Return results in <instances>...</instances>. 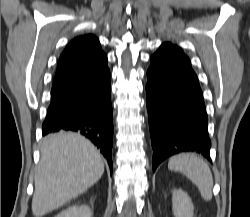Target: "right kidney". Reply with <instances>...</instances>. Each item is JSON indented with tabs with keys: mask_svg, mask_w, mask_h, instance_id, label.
<instances>
[{
	"mask_svg": "<svg viewBox=\"0 0 250 217\" xmlns=\"http://www.w3.org/2000/svg\"><path fill=\"white\" fill-rule=\"evenodd\" d=\"M55 217H92V211L87 205H72Z\"/></svg>",
	"mask_w": 250,
	"mask_h": 217,
	"instance_id": "right-kidney-1",
	"label": "right kidney"
}]
</instances>
